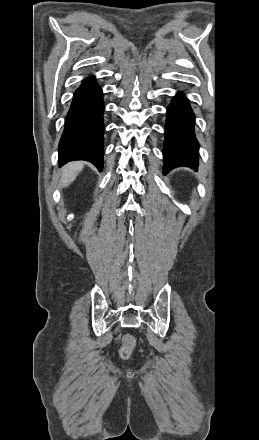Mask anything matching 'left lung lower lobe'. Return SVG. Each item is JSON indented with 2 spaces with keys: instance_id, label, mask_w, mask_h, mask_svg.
<instances>
[{
  "instance_id": "1",
  "label": "left lung lower lobe",
  "mask_w": 259,
  "mask_h": 440,
  "mask_svg": "<svg viewBox=\"0 0 259 440\" xmlns=\"http://www.w3.org/2000/svg\"><path fill=\"white\" fill-rule=\"evenodd\" d=\"M194 119L188 101L181 93L177 94L167 111L164 173L178 166L197 168L199 148L194 133Z\"/></svg>"
}]
</instances>
